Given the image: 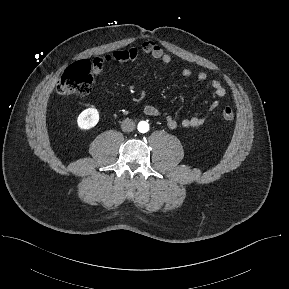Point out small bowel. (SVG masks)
I'll return each mask as SVG.
<instances>
[{
	"instance_id": "small-bowel-1",
	"label": "small bowel",
	"mask_w": 289,
	"mask_h": 289,
	"mask_svg": "<svg viewBox=\"0 0 289 289\" xmlns=\"http://www.w3.org/2000/svg\"><path fill=\"white\" fill-rule=\"evenodd\" d=\"M140 54L149 56L165 64L171 62V56L167 54L157 43L153 41H146L141 45L140 49L132 47L129 49L116 50L108 53L104 57L95 58L91 65L92 73L94 75H99L103 71L104 65L106 63L133 61L136 60ZM182 75L184 77H190L192 75V71L189 68H184L182 70ZM197 79L202 84H208L212 88L215 97L222 98L226 95V90L222 84L218 80H209V77L205 72H200L197 75ZM219 104L220 102L218 100L212 102L209 106L207 115H195L192 117L184 118L181 121V125L184 128H196L202 126L207 121L209 115L217 109ZM143 112L147 116L164 119L170 129H175L178 126V122L175 118L172 117V115L154 105H146L143 108Z\"/></svg>"
}]
</instances>
